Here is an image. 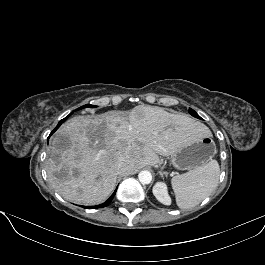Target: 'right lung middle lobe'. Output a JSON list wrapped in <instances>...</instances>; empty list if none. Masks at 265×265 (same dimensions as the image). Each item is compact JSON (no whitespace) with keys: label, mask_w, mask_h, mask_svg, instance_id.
Wrapping results in <instances>:
<instances>
[{"label":"right lung middle lobe","mask_w":265,"mask_h":265,"mask_svg":"<svg viewBox=\"0 0 265 265\" xmlns=\"http://www.w3.org/2000/svg\"><path fill=\"white\" fill-rule=\"evenodd\" d=\"M86 107H96V106H93V105H84V106H82V107H80V108H78V109H76V110H80V109H83V108H86ZM72 113H70L67 117H65L64 119H62L60 122H59V124L60 123H62V122H64L70 115H71Z\"/></svg>","instance_id":"dd1d6c3e"}]
</instances>
